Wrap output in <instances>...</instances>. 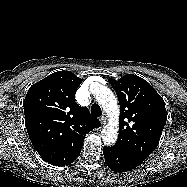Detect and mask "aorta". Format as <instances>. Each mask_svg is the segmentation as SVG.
<instances>
[{
  "instance_id": "762f6f07",
  "label": "aorta",
  "mask_w": 187,
  "mask_h": 187,
  "mask_svg": "<svg viewBox=\"0 0 187 187\" xmlns=\"http://www.w3.org/2000/svg\"><path fill=\"white\" fill-rule=\"evenodd\" d=\"M95 94L98 103L110 117V121L102 130L101 137L104 144L112 145L118 138L119 105L112 91L106 86H98Z\"/></svg>"
}]
</instances>
